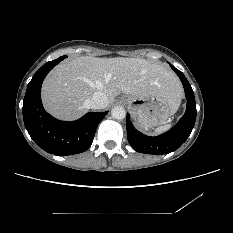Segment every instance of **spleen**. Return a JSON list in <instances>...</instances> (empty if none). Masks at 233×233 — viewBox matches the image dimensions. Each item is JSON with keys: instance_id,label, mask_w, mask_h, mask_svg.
Segmentation results:
<instances>
[{"instance_id": "1", "label": "spleen", "mask_w": 233, "mask_h": 233, "mask_svg": "<svg viewBox=\"0 0 233 233\" xmlns=\"http://www.w3.org/2000/svg\"><path fill=\"white\" fill-rule=\"evenodd\" d=\"M171 126H172V124H166V125H163V126L156 128L154 131L147 130V133L150 135H158V134L164 133L167 130H169L171 128Z\"/></svg>"}]
</instances>
